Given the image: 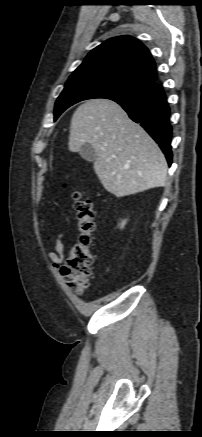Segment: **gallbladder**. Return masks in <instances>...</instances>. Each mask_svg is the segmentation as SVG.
<instances>
[{"label": "gallbladder", "mask_w": 202, "mask_h": 437, "mask_svg": "<svg viewBox=\"0 0 202 437\" xmlns=\"http://www.w3.org/2000/svg\"><path fill=\"white\" fill-rule=\"evenodd\" d=\"M80 156L89 162H94L96 159V152L93 148V146L89 143H84L81 146V149L79 151Z\"/></svg>", "instance_id": "gallbladder-1"}]
</instances>
